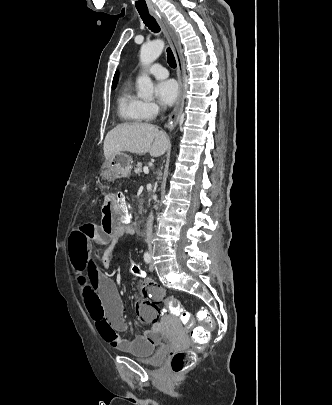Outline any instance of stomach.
I'll list each match as a JSON object with an SVG mask.
<instances>
[{"label":"stomach","mask_w":332,"mask_h":405,"mask_svg":"<svg viewBox=\"0 0 332 405\" xmlns=\"http://www.w3.org/2000/svg\"><path fill=\"white\" fill-rule=\"evenodd\" d=\"M104 168L115 176H127L132 168L131 157L123 152H118L105 163Z\"/></svg>","instance_id":"0dacf381"}]
</instances>
